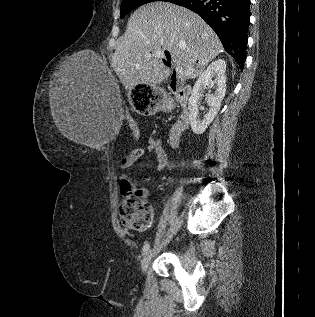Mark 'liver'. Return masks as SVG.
<instances>
[{
    "label": "liver",
    "instance_id": "liver-1",
    "mask_svg": "<svg viewBox=\"0 0 315 317\" xmlns=\"http://www.w3.org/2000/svg\"><path fill=\"white\" fill-rule=\"evenodd\" d=\"M222 49L215 32L199 15L172 3L154 2L131 15L111 67L126 89L139 84L156 85L170 75V69L161 60L163 50L170 52L176 66L193 69L188 77L195 78ZM67 92L69 90L53 89L52 117L62 135L84 144L81 119Z\"/></svg>",
    "mask_w": 315,
    "mask_h": 317
}]
</instances>
